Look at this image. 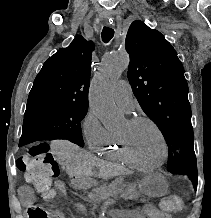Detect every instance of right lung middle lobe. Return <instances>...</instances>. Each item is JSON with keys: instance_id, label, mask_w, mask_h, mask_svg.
Listing matches in <instances>:
<instances>
[{"instance_id": "1", "label": "right lung middle lobe", "mask_w": 211, "mask_h": 218, "mask_svg": "<svg viewBox=\"0 0 211 218\" xmlns=\"http://www.w3.org/2000/svg\"><path fill=\"white\" fill-rule=\"evenodd\" d=\"M88 104L71 102H35L27 104L22 136L31 140L68 139L84 145L81 120Z\"/></svg>"}]
</instances>
